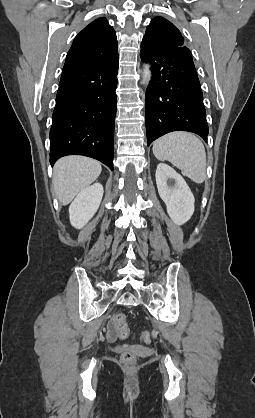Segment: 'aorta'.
Instances as JSON below:
<instances>
[{
	"instance_id": "1",
	"label": "aorta",
	"mask_w": 255,
	"mask_h": 418,
	"mask_svg": "<svg viewBox=\"0 0 255 418\" xmlns=\"http://www.w3.org/2000/svg\"><path fill=\"white\" fill-rule=\"evenodd\" d=\"M151 79L150 65L145 64L143 70V83L148 84Z\"/></svg>"
}]
</instances>
